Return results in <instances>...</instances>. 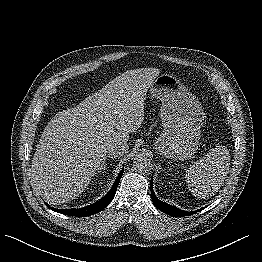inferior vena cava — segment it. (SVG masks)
<instances>
[{"label":"inferior vena cava","instance_id":"1","mask_svg":"<svg viewBox=\"0 0 262 262\" xmlns=\"http://www.w3.org/2000/svg\"><path fill=\"white\" fill-rule=\"evenodd\" d=\"M129 146L125 142L114 143L108 147V153L112 157H119L127 153Z\"/></svg>","mask_w":262,"mask_h":262}]
</instances>
